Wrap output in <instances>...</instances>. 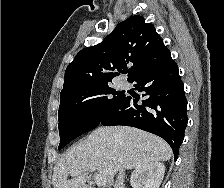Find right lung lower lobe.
<instances>
[{
  "label": "right lung lower lobe",
  "mask_w": 224,
  "mask_h": 188,
  "mask_svg": "<svg viewBox=\"0 0 224 188\" xmlns=\"http://www.w3.org/2000/svg\"><path fill=\"white\" fill-rule=\"evenodd\" d=\"M133 81L135 89L144 92L142 104H137L139 96L125 95L101 124L132 126L156 134L169 143L176 160L188 122L187 100L177 64L169 53L130 80Z\"/></svg>",
  "instance_id": "obj_1"
}]
</instances>
